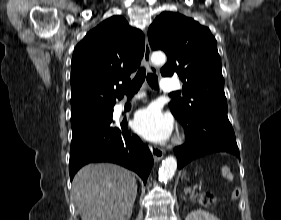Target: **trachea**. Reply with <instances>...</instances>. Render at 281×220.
<instances>
[{
	"mask_svg": "<svg viewBox=\"0 0 281 220\" xmlns=\"http://www.w3.org/2000/svg\"><path fill=\"white\" fill-rule=\"evenodd\" d=\"M145 77H146L145 68H140L135 78L132 80V82L128 84L126 87L121 88L122 93L126 94L127 96H132L136 94L140 89V87L142 86ZM147 81L152 88L158 89V78L155 74L148 73ZM171 95H177V93H171Z\"/></svg>",
	"mask_w": 281,
	"mask_h": 220,
	"instance_id": "trachea-1",
	"label": "trachea"
}]
</instances>
